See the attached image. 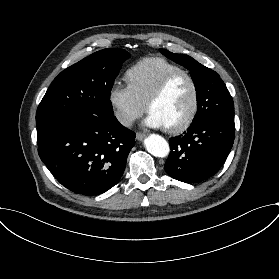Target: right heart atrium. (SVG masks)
<instances>
[{"label": "right heart atrium", "mask_w": 279, "mask_h": 279, "mask_svg": "<svg viewBox=\"0 0 279 279\" xmlns=\"http://www.w3.org/2000/svg\"><path fill=\"white\" fill-rule=\"evenodd\" d=\"M108 102L114 110L116 121L130 126L146 109V102L141 100L129 84L115 82L108 91Z\"/></svg>", "instance_id": "right-heart-atrium-1"}]
</instances>
